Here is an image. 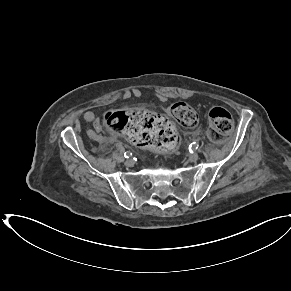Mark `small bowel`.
<instances>
[{"mask_svg":"<svg viewBox=\"0 0 291 291\" xmlns=\"http://www.w3.org/2000/svg\"><path fill=\"white\" fill-rule=\"evenodd\" d=\"M131 95L137 96L138 91L137 90H131ZM83 119L87 122H91L94 126L95 130H88L87 135L90 139L93 141L99 143V144H105L109 141H111L110 138L106 137L105 135L100 133L101 126L99 121L97 120L95 114L91 111H86L83 113Z\"/></svg>","mask_w":291,"mask_h":291,"instance_id":"small-bowel-1","label":"small bowel"}]
</instances>
